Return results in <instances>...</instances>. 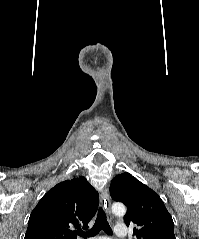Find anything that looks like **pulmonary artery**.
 Here are the masks:
<instances>
[{"mask_svg":"<svg viewBox=\"0 0 199 239\" xmlns=\"http://www.w3.org/2000/svg\"><path fill=\"white\" fill-rule=\"evenodd\" d=\"M114 232H115V235L119 239H124L128 234L127 227L124 224H116L114 226ZM96 239H106V238H100L99 237V238H96Z\"/></svg>","mask_w":199,"mask_h":239,"instance_id":"obj_1","label":"pulmonary artery"}]
</instances>
